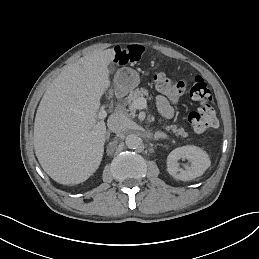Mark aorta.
<instances>
[{
	"instance_id": "obj_1",
	"label": "aorta",
	"mask_w": 259,
	"mask_h": 259,
	"mask_svg": "<svg viewBox=\"0 0 259 259\" xmlns=\"http://www.w3.org/2000/svg\"><path fill=\"white\" fill-rule=\"evenodd\" d=\"M125 143L129 149H137L141 145V138L136 134H129L126 136Z\"/></svg>"
}]
</instances>
